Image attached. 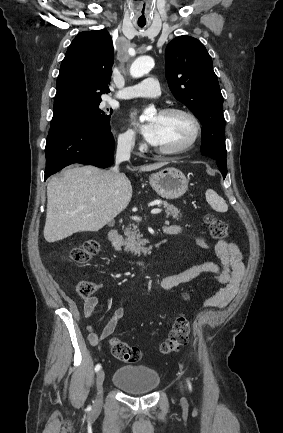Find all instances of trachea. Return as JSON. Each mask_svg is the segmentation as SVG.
Instances as JSON below:
<instances>
[{
    "label": "trachea",
    "instance_id": "3493384b",
    "mask_svg": "<svg viewBox=\"0 0 283 433\" xmlns=\"http://www.w3.org/2000/svg\"><path fill=\"white\" fill-rule=\"evenodd\" d=\"M140 27H141V28H143V27H144V25H140Z\"/></svg>",
    "mask_w": 283,
    "mask_h": 433
}]
</instances>
